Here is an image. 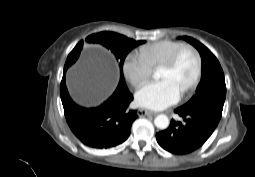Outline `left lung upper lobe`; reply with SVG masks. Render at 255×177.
Returning <instances> with one entry per match:
<instances>
[{"mask_svg":"<svg viewBox=\"0 0 255 177\" xmlns=\"http://www.w3.org/2000/svg\"><path fill=\"white\" fill-rule=\"evenodd\" d=\"M182 39L199 51L202 58V77L195 95L179 108L190 111L207 110L222 115L226 85L224 73L217 58L199 41L187 36H183Z\"/></svg>","mask_w":255,"mask_h":177,"instance_id":"5c2ea615","label":"left lung upper lobe"}]
</instances>
